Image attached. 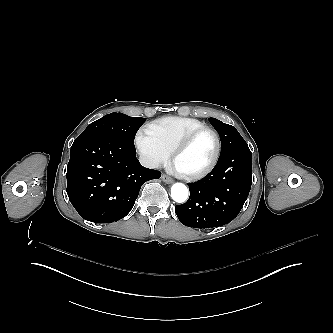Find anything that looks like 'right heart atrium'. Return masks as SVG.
<instances>
[{"label": "right heart atrium", "instance_id": "1", "mask_svg": "<svg viewBox=\"0 0 333 333\" xmlns=\"http://www.w3.org/2000/svg\"><path fill=\"white\" fill-rule=\"evenodd\" d=\"M136 148L138 153L150 167L157 169L166 164L168 153L160 146L148 143L141 137H137Z\"/></svg>", "mask_w": 333, "mask_h": 333}]
</instances>
